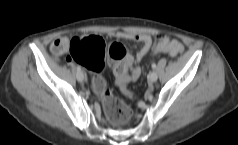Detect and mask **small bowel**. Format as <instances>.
Instances as JSON below:
<instances>
[{
  "label": "small bowel",
  "instance_id": "c3829d8e",
  "mask_svg": "<svg viewBox=\"0 0 238 145\" xmlns=\"http://www.w3.org/2000/svg\"><path fill=\"white\" fill-rule=\"evenodd\" d=\"M112 36L117 39L121 40H134L141 44L139 51L136 53L135 56L131 54H127L124 58V64L129 71L128 78L130 80H137L142 73L141 67L137 64L145 57V55L149 52L152 44H153V37L149 34H138V33H129L124 31H115L112 33ZM70 39L66 37H58L56 38L53 43L51 44V51L53 54L60 56L68 52V42ZM87 40V39H85ZM157 42H169L176 45L178 48L183 49L180 42L176 39L168 36V35H160L156 37ZM167 53V52H163ZM69 61L70 58H68Z\"/></svg>",
  "mask_w": 238,
  "mask_h": 145
}]
</instances>
